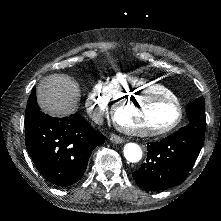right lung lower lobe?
I'll return each mask as SVG.
<instances>
[{
    "mask_svg": "<svg viewBox=\"0 0 221 221\" xmlns=\"http://www.w3.org/2000/svg\"><path fill=\"white\" fill-rule=\"evenodd\" d=\"M105 141L83 118L50 117L38 109L25 115V143L40 174L66 187L84 174L92 151Z\"/></svg>",
    "mask_w": 221,
    "mask_h": 221,
    "instance_id": "98d812e1",
    "label": "right lung lower lobe"
}]
</instances>
